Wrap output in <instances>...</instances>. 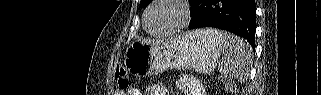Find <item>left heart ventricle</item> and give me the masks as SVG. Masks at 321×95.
<instances>
[{
	"label": "left heart ventricle",
	"instance_id": "b2bd125f",
	"mask_svg": "<svg viewBox=\"0 0 321 95\" xmlns=\"http://www.w3.org/2000/svg\"><path fill=\"white\" fill-rule=\"evenodd\" d=\"M181 18V8L177 4L163 1L150 11L147 25L153 32H164L178 25Z\"/></svg>",
	"mask_w": 321,
	"mask_h": 95
}]
</instances>
